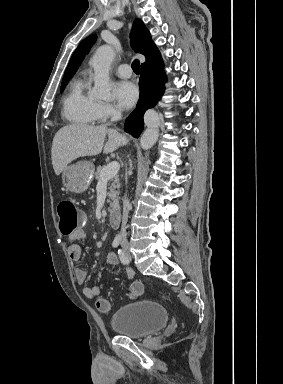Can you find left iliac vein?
<instances>
[{
	"mask_svg": "<svg viewBox=\"0 0 283 384\" xmlns=\"http://www.w3.org/2000/svg\"><path fill=\"white\" fill-rule=\"evenodd\" d=\"M126 258H127L126 264H128L131 261V255L128 252V250H126Z\"/></svg>",
	"mask_w": 283,
	"mask_h": 384,
	"instance_id": "left-iliac-vein-1",
	"label": "left iliac vein"
}]
</instances>
